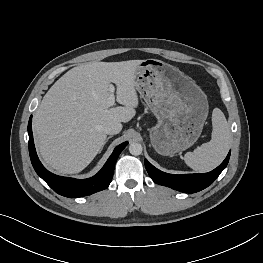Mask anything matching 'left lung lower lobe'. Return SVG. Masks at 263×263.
Instances as JSON below:
<instances>
[{"label":"left lung lower lobe","mask_w":263,"mask_h":263,"mask_svg":"<svg viewBox=\"0 0 263 263\" xmlns=\"http://www.w3.org/2000/svg\"><path fill=\"white\" fill-rule=\"evenodd\" d=\"M230 158V152L225 160L214 170L203 174H168L155 168L145 159V166L151 179L160 185L170 187L184 193H195L212 184L220 173L226 168Z\"/></svg>","instance_id":"left-lung-lower-lobe-1"}]
</instances>
